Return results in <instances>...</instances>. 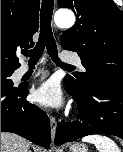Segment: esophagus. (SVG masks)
I'll return each instance as SVG.
<instances>
[{"instance_id":"esophagus-1","label":"esophagus","mask_w":123,"mask_h":152,"mask_svg":"<svg viewBox=\"0 0 123 152\" xmlns=\"http://www.w3.org/2000/svg\"><path fill=\"white\" fill-rule=\"evenodd\" d=\"M50 128H51V138L52 140H54L56 135L57 122L55 117L53 116L50 117Z\"/></svg>"}]
</instances>
